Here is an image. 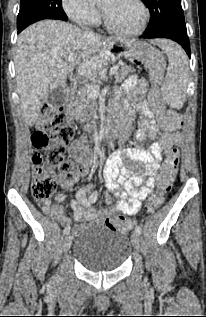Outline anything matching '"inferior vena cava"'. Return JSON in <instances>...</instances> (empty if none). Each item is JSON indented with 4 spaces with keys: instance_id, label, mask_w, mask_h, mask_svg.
Wrapping results in <instances>:
<instances>
[{
    "instance_id": "obj_1",
    "label": "inferior vena cava",
    "mask_w": 206,
    "mask_h": 317,
    "mask_svg": "<svg viewBox=\"0 0 206 317\" xmlns=\"http://www.w3.org/2000/svg\"><path fill=\"white\" fill-rule=\"evenodd\" d=\"M85 32L89 33V34H93V32L91 30H89L88 28H85Z\"/></svg>"
}]
</instances>
